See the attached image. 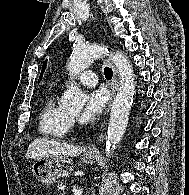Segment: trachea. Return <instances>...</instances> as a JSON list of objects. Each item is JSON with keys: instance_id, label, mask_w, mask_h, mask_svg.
I'll return each mask as SVG.
<instances>
[{"instance_id": "3493384b", "label": "trachea", "mask_w": 189, "mask_h": 195, "mask_svg": "<svg viewBox=\"0 0 189 195\" xmlns=\"http://www.w3.org/2000/svg\"><path fill=\"white\" fill-rule=\"evenodd\" d=\"M104 75L107 79H111L112 76H113V72H112V69L109 68V67H105L104 69Z\"/></svg>"}]
</instances>
